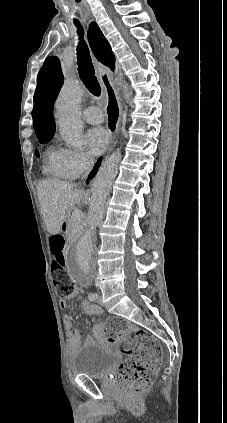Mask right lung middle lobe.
Returning <instances> with one entry per match:
<instances>
[{"mask_svg":"<svg viewBox=\"0 0 227 423\" xmlns=\"http://www.w3.org/2000/svg\"><path fill=\"white\" fill-rule=\"evenodd\" d=\"M51 137H52V135H50V136L38 137V139H39V141H40L41 143H46V142H48V141L51 139ZM35 154H36V156H37V157H39V152H38L37 150L35 151Z\"/></svg>","mask_w":227,"mask_h":423,"instance_id":"obj_1","label":"right lung middle lobe"}]
</instances>
